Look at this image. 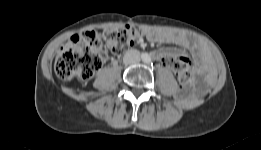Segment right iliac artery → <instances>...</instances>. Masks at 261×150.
Masks as SVG:
<instances>
[{"label": "right iliac artery", "instance_id": "82829eb1", "mask_svg": "<svg viewBox=\"0 0 261 150\" xmlns=\"http://www.w3.org/2000/svg\"><path fill=\"white\" fill-rule=\"evenodd\" d=\"M145 56V54H142V57H144Z\"/></svg>", "mask_w": 261, "mask_h": 150}]
</instances>
